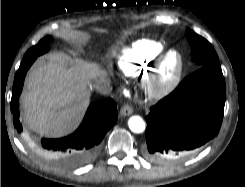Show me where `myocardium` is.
I'll use <instances>...</instances> for the list:
<instances>
[{
	"mask_svg": "<svg viewBox=\"0 0 245 187\" xmlns=\"http://www.w3.org/2000/svg\"><path fill=\"white\" fill-rule=\"evenodd\" d=\"M171 54L176 56V66L168 78H163V68L166 59ZM184 69L182 54L175 48L164 50L157 58L155 65L147 73L143 88L150 99L160 100L171 94L178 86Z\"/></svg>",
	"mask_w": 245,
	"mask_h": 187,
	"instance_id": "obj_1",
	"label": "myocardium"
}]
</instances>
